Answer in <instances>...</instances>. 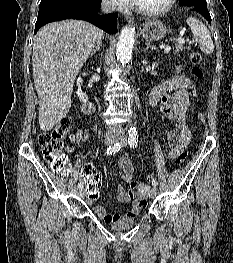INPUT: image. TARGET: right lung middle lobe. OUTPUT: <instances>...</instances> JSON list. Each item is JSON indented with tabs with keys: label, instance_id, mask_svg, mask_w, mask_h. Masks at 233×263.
Here are the masks:
<instances>
[{
	"label": "right lung middle lobe",
	"instance_id": "dd1d6c3e",
	"mask_svg": "<svg viewBox=\"0 0 233 263\" xmlns=\"http://www.w3.org/2000/svg\"><path fill=\"white\" fill-rule=\"evenodd\" d=\"M79 0H41L37 21L48 17L71 13Z\"/></svg>",
	"mask_w": 233,
	"mask_h": 263
}]
</instances>
